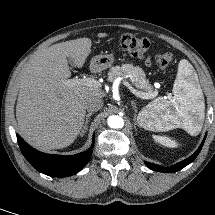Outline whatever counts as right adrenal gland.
<instances>
[{
	"instance_id": "right-adrenal-gland-1",
	"label": "right adrenal gland",
	"mask_w": 215,
	"mask_h": 215,
	"mask_svg": "<svg viewBox=\"0 0 215 215\" xmlns=\"http://www.w3.org/2000/svg\"><path fill=\"white\" fill-rule=\"evenodd\" d=\"M92 114H93V112H89V113L86 115V119H85V123H84L83 129H82V133H84V130L86 129L87 124L89 123L90 116H91Z\"/></svg>"
}]
</instances>
